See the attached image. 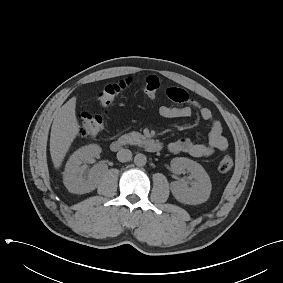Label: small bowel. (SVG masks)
Returning a JSON list of instances; mask_svg holds the SVG:
<instances>
[{
	"label": "small bowel",
	"mask_w": 283,
	"mask_h": 283,
	"mask_svg": "<svg viewBox=\"0 0 283 283\" xmlns=\"http://www.w3.org/2000/svg\"><path fill=\"white\" fill-rule=\"evenodd\" d=\"M166 94L171 101L187 103V105L181 107L161 106L159 114L162 118L190 117L193 114V108H197L204 120L211 121L208 140L205 143L194 142L189 138H180L168 145L170 152L175 154L186 153L196 158H202L227 149L228 142L222 134L221 123L213 118V113L209 108L201 107L196 101L191 100L188 93L181 88L169 87L166 90Z\"/></svg>",
	"instance_id": "c3829d8e"
}]
</instances>
